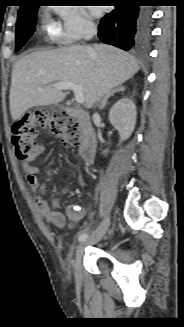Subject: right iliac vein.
I'll return each mask as SVG.
<instances>
[{
	"label": "right iliac vein",
	"mask_w": 184,
	"mask_h": 327,
	"mask_svg": "<svg viewBox=\"0 0 184 327\" xmlns=\"http://www.w3.org/2000/svg\"><path fill=\"white\" fill-rule=\"evenodd\" d=\"M110 225V217L107 216L103 222L99 225V227L88 237V239L79 244L76 250V256L74 260V274L75 279L78 283L82 281V273H81V260L85 251V248L89 245H93L98 243L103 236L106 234L108 227Z\"/></svg>",
	"instance_id": "1"
}]
</instances>
